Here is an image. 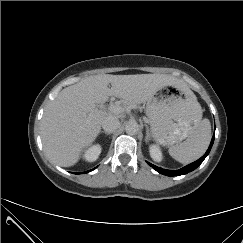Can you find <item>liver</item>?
Here are the masks:
<instances>
[{"mask_svg": "<svg viewBox=\"0 0 243 243\" xmlns=\"http://www.w3.org/2000/svg\"><path fill=\"white\" fill-rule=\"evenodd\" d=\"M165 86L187 89L183 81L165 74L95 75L64 88L41 120L45 153L59 166H73L98 136L104 118L114 116L98 110L96 104L109 96L131 105L145 103Z\"/></svg>", "mask_w": 243, "mask_h": 243, "instance_id": "obj_1", "label": "liver"}]
</instances>
